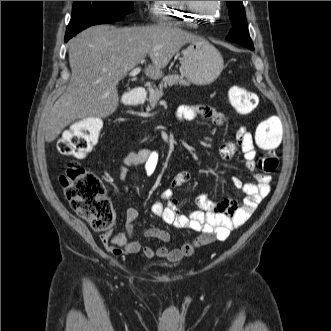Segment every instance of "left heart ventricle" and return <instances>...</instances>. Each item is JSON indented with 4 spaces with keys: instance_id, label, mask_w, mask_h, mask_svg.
Segmentation results:
<instances>
[{
    "instance_id": "left-heart-ventricle-1",
    "label": "left heart ventricle",
    "mask_w": 331,
    "mask_h": 331,
    "mask_svg": "<svg viewBox=\"0 0 331 331\" xmlns=\"http://www.w3.org/2000/svg\"><path fill=\"white\" fill-rule=\"evenodd\" d=\"M197 4L207 11H210L214 6V1H197Z\"/></svg>"
}]
</instances>
